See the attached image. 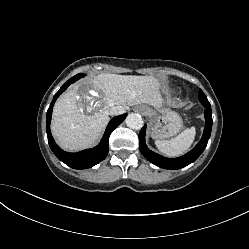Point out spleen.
Listing matches in <instances>:
<instances>
[{"label": "spleen", "instance_id": "3e777b00", "mask_svg": "<svg viewBox=\"0 0 249 249\" xmlns=\"http://www.w3.org/2000/svg\"><path fill=\"white\" fill-rule=\"evenodd\" d=\"M196 135L195 127L188 128L171 140H156L158 150L167 157L183 155L194 142Z\"/></svg>", "mask_w": 249, "mask_h": 249}]
</instances>
